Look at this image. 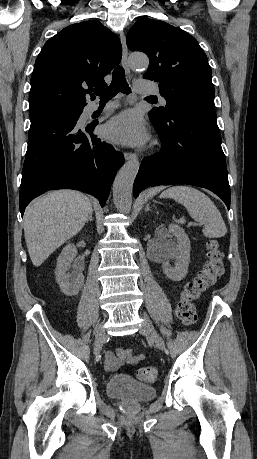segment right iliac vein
Instances as JSON below:
<instances>
[{
    "label": "right iliac vein",
    "instance_id": "1",
    "mask_svg": "<svg viewBox=\"0 0 257 459\" xmlns=\"http://www.w3.org/2000/svg\"><path fill=\"white\" fill-rule=\"evenodd\" d=\"M106 339L105 327L103 324H100L96 328L95 343H94V354L96 358H99L102 346Z\"/></svg>",
    "mask_w": 257,
    "mask_h": 459
}]
</instances>
